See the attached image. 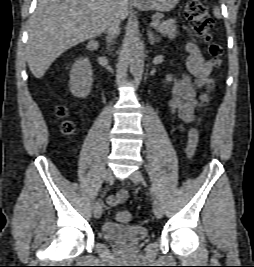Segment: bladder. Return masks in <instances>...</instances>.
<instances>
[{
    "label": "bladder",
    "instance_id": "bladder-1",
    "mask_svg": "<svg viewBox=\"0 0 254 267\" xmlns=\"http://www.w3.org/2000/svg\"><path fill=\"white\" fill-rule=\"evenodd\" d=\"M105 239L124 246H135L143 242L148 231L140 226H124L114 222H107L102 227Z\"/></svg>",
    "mask_w": 254,
    "mask_h": 267
}]
</instances>
